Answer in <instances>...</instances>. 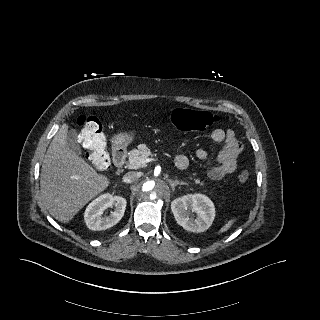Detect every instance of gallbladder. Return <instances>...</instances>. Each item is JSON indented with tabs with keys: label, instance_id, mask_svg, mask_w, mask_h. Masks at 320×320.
Masks as SVG:
<instances>
[{
	"label": "gallbladder",
	"instance_id": "gallbladder-1",
	"mask_svg": "<svg viewBox=\"0 0 320 320\" xmlns=\"http://www.w3.org/2000/svg\"><path fill=\"white\" fill-rule=\"evenodd\" d=\"M67 146L71 151H73L76 154L81 153V149L79 144L77 143V132L74 129H71L67 133V138H66Z\"/></svg>",
	"mask_w": 320,
	"mask_h": 320
}]
</instances>
